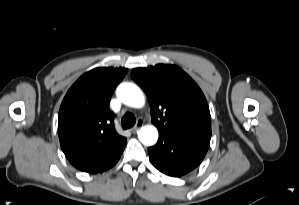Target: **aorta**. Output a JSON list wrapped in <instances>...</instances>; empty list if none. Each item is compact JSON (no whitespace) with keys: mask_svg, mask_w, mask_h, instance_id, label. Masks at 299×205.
I'll return each instance as SVG.
<instances>
[{"mask_svg":"<svg viewBox=\"0 0 299 205\" xmlns=\"http://www.w3.org/2000/svg\"><path fill=\"white\" fill-rule=\"evenodd\" d=\"M117 96L126 105L140 108L145 103L142 91L134 84L122 83L117 88ZM138 138L142 144L151 146L158 140V131L156 127L147 125L138 132Z\"/></svg>","mask_w":299,"mask_h":205,"instance_id":"1","label":"aorta"}]
</instances>
